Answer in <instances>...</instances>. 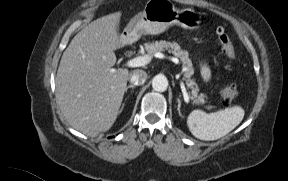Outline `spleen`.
Instances as JSON below:
<instances>
[{
	"label": "spleen",
	"instance_id": "obj_1",
	"mask_svg": "<svg viewBox=\"0 0 288 181\" xmlns=\"http://www.w3.org/2000/svg\"><path fill=\"white\" fill-rule=\"evenodd\" d=\"M244 114L240 106L209 114L202 110H193L188 115L187 125L196 138L205 141L217 140L236 128L243 120Z\"/></svg>",
	"mask_w": 288,
	"mask_h": 181
}]
</instances>
